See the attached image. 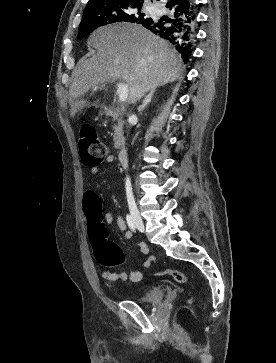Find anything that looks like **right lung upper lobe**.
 I'll use <instances>...</instances> for the list:
<instances>
[{
	"instance_id": "right-lung-upper-lobe-1",
	"label": "right lung upper lobe",
	"mask_w": 276,
	"mask_h": 363,
	"mask_svg": "<svg viewBox=\"0 0 276 363\" xmlns=\"http://www.w3.org/2000/svg\"><path fill=\"white\" fill-rule=\"evenodd\" d=\"M105 1H112V0H89V2L87 3V6H90L92 4L99 3V2H105ZM121 1H130V2L143 3L144 0H121ZM145 21L148 22V19L143 20V22H145ZM143 22L141 24H143Z\"/></svg>"
}]
</instances>
